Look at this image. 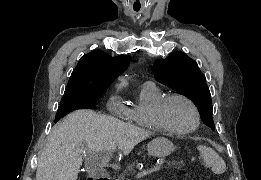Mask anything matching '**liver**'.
<instances>
[{
	"label": "liver",
	"mask_w": 261,
	"mask_h": 180,
	"mask_svg": "<svg viewBox=\"0 0 261 180\" xmlns=\"http://www.w3.org/2000/svg\"><path fill=\"white\" fill-rule=\"evenodd\" d=\"M153 134L114 116L76 110L51 130L39 156L36 180H77L84 160L86 164L97 162L98 152L116 150L129 156L137 144Z\"/></svg>",
	"instance_id": "obj_1"
}]
</instances>
